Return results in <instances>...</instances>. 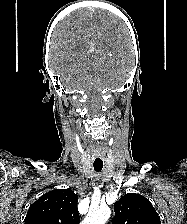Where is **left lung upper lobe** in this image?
Returning a JSON list of instances; mask_svg holds the SVG:
<instances>
[{"label": "left lung upper lobe", "instance_id": "obj_1", "mask_svg": "<svg viewBox=\"0 0 187 224\" xmlns=\"http://www.w3.org/2000/svg\"><path fill=\"white\" fill-rule=\"evenodd\" d=\"M114 206L113 224H161L150 201L139 194H125Z\"/></svg>", "mask_w": 187, "mask_h": 224}]
</instances>
